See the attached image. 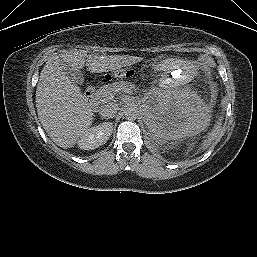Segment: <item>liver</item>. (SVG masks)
<instances>
[{"label":"liver","mask_w":257,"mask_h":257,"mask_svg":"<svg viewBox=\"0 0 257 257\" xmlns=\"http://www.w3.org/2000/svg\"><path fill=\"white\" fill-rule=\"evenodd\" d=\"M64 63L91 73L113 71L140 61L136 56L90 54L64 50L48 57L36 89L40 122L52 141L63 149L73 147L90 129L93 112L80 88L63 71Z\"/></svg>","instance_id":"liver-1"}]
</instances>
